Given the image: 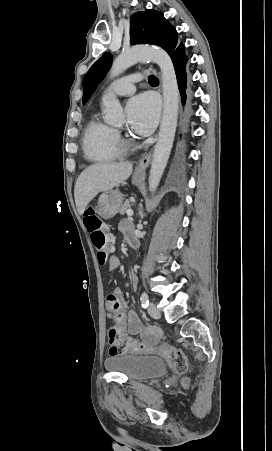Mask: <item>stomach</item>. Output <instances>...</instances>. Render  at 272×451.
Masks as SVG:
<instances>
[{"mask_svg": "<svg viewBox=\"0 0 272 451\" xmlns=\"http://www.w3.org/2000/svg\"><path fill=\"white\" fill-rule=\"evenodd\" d=\"M142 180H144V176H139V174H134L133 176V184H141ZM124 198L122 194H120L119 190H106L103 192L101 196H99L98 200V214L101 218H113L115 214H117L119 208L122 206Z\"/></svg>", "mask_w": 272, "mask_h": 451, "instance_id": "1", "label": "stomach"}]
</instances>
